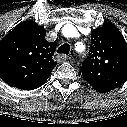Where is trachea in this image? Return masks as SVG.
<instances>
[{
	"mask_svg": "<svg viewBox=\"0 0 127 127\" xmlns=\"http://www.w3.org/2000/svg\"><path fill=\"white\" fill-rule=\"evenodd\" d=\"M69 51H70V46L69 44L65 43L58 48L57 53L68 55Z\"/></svg>",
	"mask_w": 127,
	"mask_h": 127,
	"instance_id": "obj_1",
	"label": "trachea"
}]
</instances>
